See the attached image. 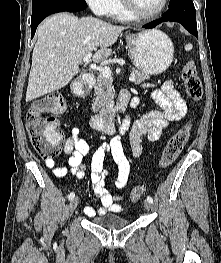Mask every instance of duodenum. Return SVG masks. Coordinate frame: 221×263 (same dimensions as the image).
Returning a JSON list of instances; mask_svg holds the SVG:
<instances>
[{
    "label": "duodenum",
    "mask_w": 221,
    "mask_h": 263,
    "mask_svg": "<svg viewBox=\"0 0 221 263\" xmlns=\"http://www.w3.org/2000/svg\"><path fill=\"white\" fill-rule=\"evenodd\" d=\"M95 82V75L93 73H85L82 76V79L80 83L74 88V92L76 94H79L83 91H85L88 88H91ZM128 105V95L126 93H123L120 95L118 104H117V110L119 112H124ZM91 124L94 129L108 133L113 134L116 131V124L114 123V118L111 116H105L103 114H94L91 118ZM129 126V120L125 119L122 127H128Z\"/></svg>",
    "instance_id": "1"
}]
</instances>
